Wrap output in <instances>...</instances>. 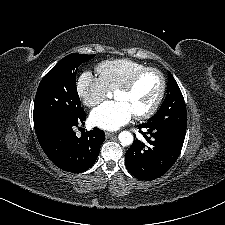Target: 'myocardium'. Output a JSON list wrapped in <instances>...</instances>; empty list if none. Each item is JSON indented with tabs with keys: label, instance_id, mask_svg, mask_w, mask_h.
Wrapping results in <instances>:
<instances>
[{
	"label": "myocardium",
	"instance_id": "myocardium-1",
	"mask_svg": "<svg viewBox=\"0 0 225 225\" xmlns=\"http://www.w3.org/2000/svg\"><path fill=\"white\" fill-rule=\"evenodd\" d=\"M149 72L155 73L159 77L160 79L159 91L153 104L146 111H144L143 113L134 115V118L136 120L148 119L157 111L158 107L160 106L165 94V90H166V80L163 73L157 68L145 67L139 70L138 72H136L134 75H132V77L125 84L117 88L115 91V92H123V93H128L132 91L135 85L137 84V82L140 80V78Z\"/></svg>",
	"mask_w": 225,
	"mask_h": 225
}]
</instances>
